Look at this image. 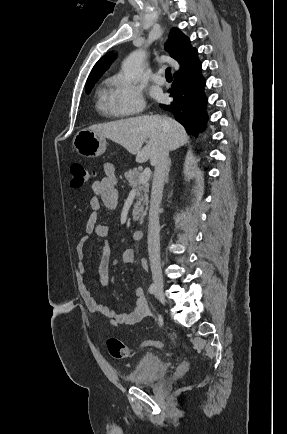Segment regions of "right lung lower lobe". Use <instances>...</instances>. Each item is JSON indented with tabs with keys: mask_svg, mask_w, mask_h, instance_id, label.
I'll list each match as a JSON object with an SVG mask.
<instances>
[{
	"mask_svg": "<svg viewBox=\"0 0 287 434\" xmlns=\"http://www.w3.org/2000/svg\"><path fill=\"white\" fill-rule=\"evenodd\" d=\"M205 79L201 74V62L197 54L174 74V82L169 90L173 101L160 104L164 110L170 111L188 133L198 135L205 130L207 99L203 93Z\"/></svg>",
	"mask_w": 287,
	"mask_h": 434,
	"instance_id": "obj_1",
	"label": "right lung lower lobe"
}]
</instances>
